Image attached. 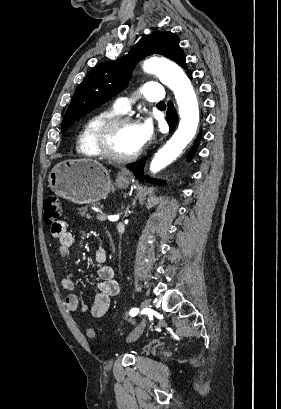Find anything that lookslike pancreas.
<instances>
[{
	"mask_svg": "<svg viewBox=\"0 0 281 409\" xmlns=\"http://www.w3.org/2000/svg\"><path fill=\"white\" fill-rule=\"evenodd\" d=\"M100 207H102V205H100ZM79 211H81L82 217H87V219H91L90 213H87L88 207H82V209H79ZM97 219H98V215H97ZM98 221L100 220L98 219Z\"/></svg>",
	"mask_w": 281,
	"mask_h": 409,
	"instance_id": "pancreas-1",
	"label": "pancreas"
}]
</instances>
